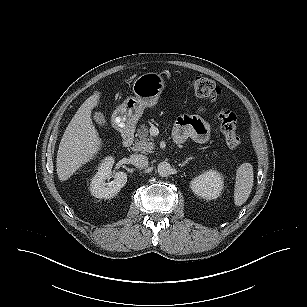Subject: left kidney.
Instances as JSON below:
<instances>
[{"mask_svg": "<svg viewBox=\"0 0 307 307\" xmlns=\"http://www.w3.org/2000/svg\"><path fill=\"white\" fill-rule=\"evenodd\" d=\"M224 186L223 176L215 171L209 170L195 177L190 188L197 195L207 200L216 199L221 194Z\"/></svg>", "mask_w": 307, "mask_h": 307, "instance_id": "obj_1", "label": "left kidney"}]
</instances>
